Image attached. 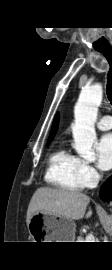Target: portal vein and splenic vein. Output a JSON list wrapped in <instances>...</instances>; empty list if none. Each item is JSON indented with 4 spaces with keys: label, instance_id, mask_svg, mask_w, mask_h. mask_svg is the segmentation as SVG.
Returning <instances> with one entry per match:
<instances>
[{
    "label": "portal vein and splenic vein",
    "instance_id": "1",
    "mask_svg": "<svg viewBox=\"0 0 112 270\" xmlns=\"http://www.w3.org/2000/svg\"><path fill=\"white\" fill-rule=\"evenodd\" d=\"M94 240H95L94 235H92V234L86 235L85 242H95Z\"/></svg>",
    "mask_w": 112,
    "mask_h": 270
}]
</instances>
